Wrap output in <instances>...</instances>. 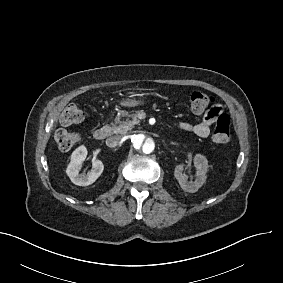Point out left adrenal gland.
Returning <instances> with one entry per match:
<instances>
[{
	"label": "left adrenal gland",
	"mask_w": 283,
	"mask_h": 283,
	"mask_svg": "<svg viewBox=\"0 0 283 283\" xmlns=\"http://www.w3.org/2000/svg\"><path fill=\"white\" fill-rule=\"evenodd\" d=\"M170 145L178 146L179 144H178V143H175V142H170Z\"/></svg>",
	"instance_id": "a2214340"
}]
</instances>
